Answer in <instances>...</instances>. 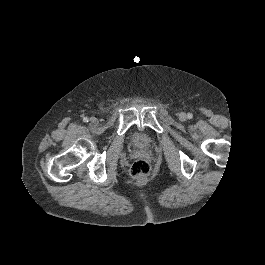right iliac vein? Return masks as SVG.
Masks as SVG:
<instances>
[{
	"mask_svg": "<svg viewBox=\"0 0 265 265\" xmlns=\"http://www.w3.org/2000/svg\"><path fill=\"white\" fill-rule=\"evenodd\" d=\"M97 123H98V120H97L96 117H91L90 118V124L91 125L95 126V125H97Z\"/></svg>",
	"mask_w": 265,
	"mask_h": 265,
	"instance_id": "right-iliac-vein-1",
	"label": "right iliac vein"
}]
</instances>
